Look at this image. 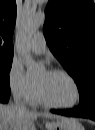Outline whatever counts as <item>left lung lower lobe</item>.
<instances>
[{
  "mask_svg": "<svg viewBox=\"0 0 95 130\" xmlns=\"http://www.w3.org/2000/svg\"><path fill=\"white\" fill-rule=\"evenodd\" d=\"M53 113L68 117H81L95 120V87L80 97L79 106L75 109L52 110Z\"/></svg>",
  "mask_w": 95,
  "mask_h": 130,
  "instance_id": "left-lung-lower-lobe-1",
  "label": "left lung lower lobe"
}]
</instances>
